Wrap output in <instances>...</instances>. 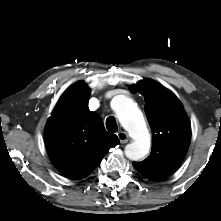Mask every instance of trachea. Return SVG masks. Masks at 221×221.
Returning a JSON list of instances; mask_svg holds the SVG:
<instances>
[{"mask_svg":"<svg viewBox=\"0 0 221 221\" xmlns=\"http://www.w3.org/2000/svg\"><path fill=\"white\" fill-rule=\"evenodd\" d=\"M106 128L109 132H112V133L118 130L116 120L113 116H110L106 119Z\"/></svg>","mask_w":221,"mask_h":221,"instance_id":"trachea-1","label":"trachea"}]
</instances>
